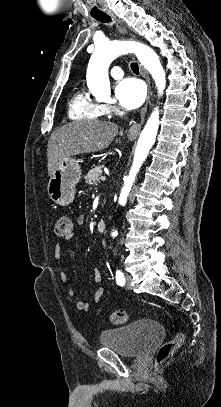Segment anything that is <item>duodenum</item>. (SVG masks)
I'll return each mask as SVG.
<instances>
[{"label": "duodenum", "instance_id": "obj_1", "mask_svg": "<svg viewBox=\"0 0 221 407\" xmlns=\"http://www.w3.org/2000/svg\"><path fill=\"white\" fill-rule=\"evenodd\" d=\"M96 228H97V231L99 232V233H103L104 231H105V228H106V223H105V221L104 220H99L98 222H97V224H96Z\"/></svg>", "mask_w": 221, "mask_h": 407}]
</instances>
